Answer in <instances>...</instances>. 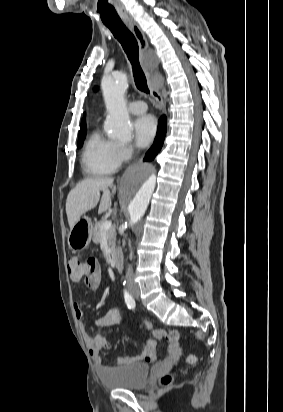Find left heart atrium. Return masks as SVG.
Masks as SVG:
<instances>
[{
  "label": "left heart atrium",
  "instance_id": "obj_1",
  "mask_svg": "<svg viewBox=\"0 0 283 412\" xmlns=\"http://www.w3.org/2000/svg\"><path fill=\"white\" fill-rule=\"evenodd\" d=\"M136 143L140 147L149 145L156 136L157 122L151 115H144L134 122Z\"/></svg>",
  "mask_w": 283,
  "mask_h": 412
}]
</instances>
